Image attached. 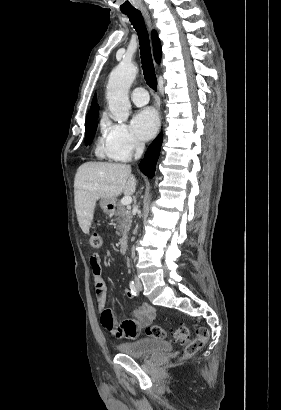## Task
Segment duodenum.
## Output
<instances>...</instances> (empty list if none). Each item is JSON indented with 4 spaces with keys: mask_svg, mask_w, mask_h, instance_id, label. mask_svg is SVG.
Here are the masks:
<instances>
[{
    "mask_svg": "<svg viewBox=\"0 0 281 410\" xmlns=\"http://www.w3.org/2000/svg\"><path fill=\"white\" fill-rule=\"evenodd\" d=\"M127 244H128V240L126 239V238H122L120 241H119V249H120V252L121 253H125L126 252V250H127Z\"/></svg>",
    "mask_w": 281,
    "mask_h": 410,
    "instance_id": "duodenum-1",
    "label": "duodenum"
}]
</instances>
